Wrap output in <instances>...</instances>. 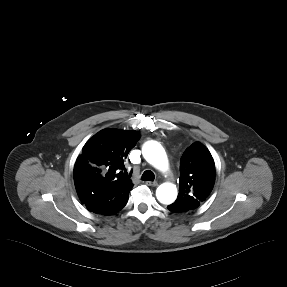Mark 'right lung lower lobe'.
Returning a JSON list of instances; mask_svg holds the SVG:
<instances>
[{"label": "right lung lower lobe", "instance_id": "obj_1", "mask_svg": "<svg viewBox=\"0 0 287 287\" xmlns=\"http://www.w3.org/2000/svg\"><path fill=\"white\" fill-rule=\"evenodd\" d=\"M131 189L122 185L95 188L87 194L82 203L89 211L96 214L113 215L126 205Z\"/></svg>", "mask_w": 287, "mask_h": 287}]
</instances>
